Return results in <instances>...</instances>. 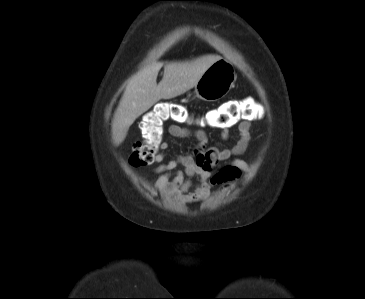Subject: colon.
<instances>
[{
    "label": "colon",
    "instance_id": "obj_1",
    "mask_svg": "<svg viewBox=\"0 0 365 299\" xmlns=\"http://www.w3.org/2000/svg\"><path fill=\"white\" fill-rule=\"evenodd\" d=\"M253 115L252 103L243 100L210 110L203 120L208 126L224 128L239 120L249 119ZM170 121L179 124L190 123L192 115L185 105L171 102L157 103L143 115L140 129L144 140L134 144L129 156L131 166L140 167L156 161L163 143L164 125Z\"/></svg>",
    "mask_w": 365,
    "mask_h": 299
}]
</instances>
